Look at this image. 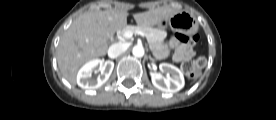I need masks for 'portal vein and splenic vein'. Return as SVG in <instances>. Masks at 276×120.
<instances>
[{"label":"portal vein and splenic vein","instance_id":"18ae733b","mask_svg":"<svg viewBox=\"0 0 276 120\" xmlns=\"http://www.w3.org/2000/svg\"><path fill=\"white\" fill-rule=\"evenodd\" d=\"M133 34H138V35H140V36H142V37H145V34H144V32H142V31H140V30H136V31H126L125 33H124V38H126V39H130L132 36H133Z\"/></svg>","mask_w":276,"mask_h":120}]
</instances>
